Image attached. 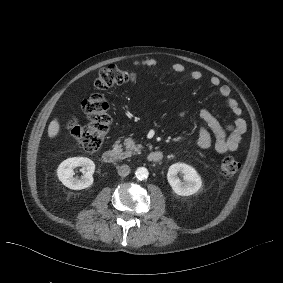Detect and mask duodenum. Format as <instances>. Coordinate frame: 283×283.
<instances>
[{"label":"duodenum","mask_w":283,"mask_h":283,"mask_svg":"<svg viewBox=\"0 0 283 283\" xmlns=\"http://www.w3.org/2000/svg\"><path fill=\"white\" fill-rule=\"evenodd\" d=\"M103 161L108 164H114L121 160V153L118 145L103 153ZM147 159L150 162H160L163 159V153L160 151H152L148 154Z\"/></svg>","instance_id":"410a0bca"}]
</instances>
